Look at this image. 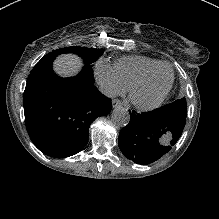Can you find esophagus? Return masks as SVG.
Listing matches in <instances>:
<instances>
[{
    "mask_svg": "<svg viewBox=\"0 0 219 219\" xmlns=\"http://www.w3.org/2000/svg\"><path fill=\"white\" fill-rule=\"evenodd\" d=\"M122 105V102L119 99H113L112 100V107L116 108L117 106Z\"/></svg>",
    "mask_w": 219,
    "mask_h": 219,
    "instance_id": "esophagus-1",
    "label": "esophagus"
}]
</instances>
